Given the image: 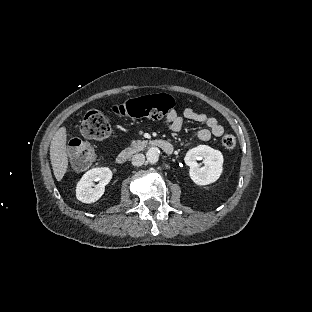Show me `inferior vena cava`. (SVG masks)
Listing matches in <instances>:
<instances>
[{
  "mask_svg": "<svg viewBox=\"0 0 312 312\" xmlns=\"http://www.w3.org/2000/svg\"><path fill=\"white\" fill-rule=\"evenodd\" d=\"M145 162V156L143 154H136L132 157V165L141 166Z\"/></svg>",
  "mask_w": 312,
  "mask_h": 312,
  "instance_id": "1",
  "label": "inferior vena cava"
}]
</instances>
